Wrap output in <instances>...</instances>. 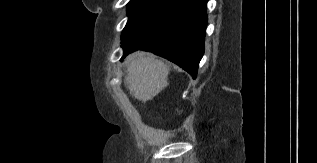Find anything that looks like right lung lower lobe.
I'll use <instances>...</instances> for the list:
<instances>
[{
    "instance_id": "1",
    "label": "right lung lower lobe",
    "mask_w": 317,
    "mask_h": 163,
    "mask_svg": "<svg viewBox=\"0 0 317 163\" xmlns=\"http://www.w3.org/2000/svg\"><path fill=\"white\" fill-rule=\"evenodd\" d=\"M207 1L177 0L153 23L122 39L124 56L139 49L150 51L196 78L204 54Z\"/></svg>"
}]
</instances>
